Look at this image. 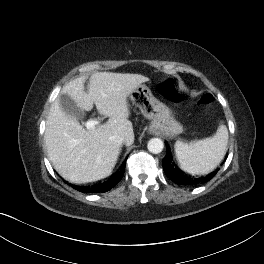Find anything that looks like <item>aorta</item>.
Instances as JSON below:
<instances>
[{
    "mask_svg": "<svg viewBox=\"0 0 264 264\" xmlns=\"http://www.w3.org/2000/svg\"><path fill=\"white\" fill-rule=\"evenodd\" d=\"M147 148L149 152L153 154H158L162 152L164 148V143L160 138H152L149 140Z\"/></svg>",
    "mask_w": 264,
    "mask_h": 264,
    "instance_id": "762f6f07",
    "label": "aorta"
}]
</instances>
